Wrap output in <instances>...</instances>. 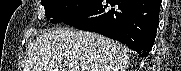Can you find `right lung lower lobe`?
Masks as SVG:
<instances>
[{
  "mask_svg": "<svg viewBox=\"0 0 181 71\" xmlns=\"http://www.w3.org/2000/svg\"><path fill=\"white\" fill-rule=\"evenodd\" d=\"M161 0H95L63 23L102 34L147 57L156 37Z\"/></svg>",
  "mask_w": 181,
  "mask_h": 71,
  "instance_id": "obj_1",
  "label": "right lung lower lobe"
}]
</instances>
